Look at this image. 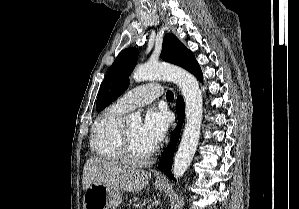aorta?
Wrapping results in <instances>:
<instances>
[{
	"instance_id": "obj_1",
	"label": "aorta",
	"mask_w": 299,
	"mask_h": 209,
	"mask_svg": "<svg viewBox=\"0 0 299 209\" xmlns=\"http://www.w3.org/2000/svg\"><path fill=\"white\" fill-rule=\"evenodd\" d=\"M137 82L152 80H168L176 83L181 89L185 101L186 124L182 139L175 154L173 175L181 178L188 169L200 138V128L203 118V99L197 79L188 71L168 64L146 63L136 67L132 75ZM141 117L131 114L128 124H138Z\"/></svg>"
}]
</instances>
